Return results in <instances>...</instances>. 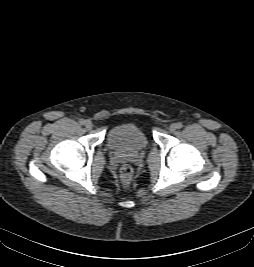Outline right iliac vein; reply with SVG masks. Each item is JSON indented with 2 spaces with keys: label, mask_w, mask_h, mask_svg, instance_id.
Here are the masks:
<instances>
[{
  "label": "right iliac vein",
  "mask_w": 254,
  "mask_h": 267,
  "mask_svg": "<svg viewBox=\"0 0 254 267\" xmlns=\"http://www.w3.org/2000/svg\"><path fill=\"white\" fill-rule=\"evenodd\" d=\"M84 125H85L86 129H88V130H90V129L93 128V124L89 120L85 121V124Z\"/></svg>",
  "instance_id": "right-iliac-vein-1"
}]
</instances>
